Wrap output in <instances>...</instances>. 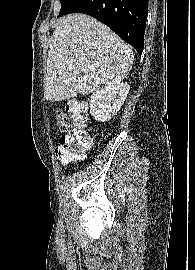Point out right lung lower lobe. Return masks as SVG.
<instances>
[{"label":"right lung lower lobe","instance_id":"right-lung-lower-lobe-1","mask_svg":"<svg viewBox=\"0 0 195 270\" xmlns=\"http://www.w3.org/2000/svg\"><path fill=\"white\" fill-rule=\"evenodd\" d=\"M70 13L96 18L142 54L148 0H76L65 14Z\"/></svg>","mask_w":195,"mask_h":270}]
</instances>
